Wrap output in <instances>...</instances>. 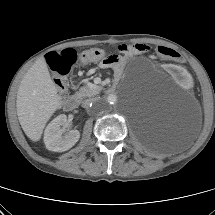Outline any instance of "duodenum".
Instances as JSON below:
<instances>
[{
	"mask_svg": "<svg viewBox=\"0 0 215 215\" xmlns=\"http://www.w3.org/2000/svg\"><path fill=\"white\" fill-rule=\"evenodd\" d=\"M80 103V98L77 95L70 96L64 103V108L67 111H73L75 110Z\"/></svg>",
	"mask_w": 215,
	"mask_h": 215,
	"instance_id": "obj_1",
	"label": "duodenum"
}]
</instances>
